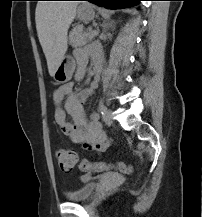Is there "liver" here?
I'll return each mask as SVG.
<instances>
[{
	"instance_id": "obj_1",
	"label": "liver",
	"mask_w": 202,
	"mask_h": 217,
	"mask_svg": "<svg viewBox=\"0 0 202 217\" xmlns=\"http://www.w3.org/2000/svg\"><path fill=\"white\" fill-rule=\"evenodd\" d=\"M77 5L69 1H42L37 4V34L52 77L67 51V33L76 16Z\"/></svg>"
}]
</instances>
